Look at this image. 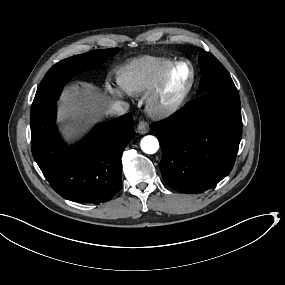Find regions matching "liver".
<instances>
[{"label": "liver", "instance_id": "obj_1", "mask_svg": "<svg viewBox=\"0 0 285 285\" xmlns=\"http://www.w3.org/2000/svg\"><path fill=\"white\" fill-rule=\"evenodd\" d=\"M60 118L68 120L66 130L74 132L83 124L107 112L111 103L98 94L91 84L79 83L68 88L62 97Z\"/></svg>", "mask_w": 285, "mask_h": 285}]
</instances>
